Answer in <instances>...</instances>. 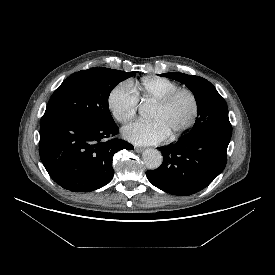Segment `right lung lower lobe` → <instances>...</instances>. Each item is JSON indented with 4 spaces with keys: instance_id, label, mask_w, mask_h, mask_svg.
Instances as JSON below:
<instances>
[{
    "instance_id": "98d812e1",
    "label": "right lung lower lobe",
    "mask_w": 275,
    "mask_h": 275,
    "mask_svg": "<svg viewBox=\"0 0 275 275\" xmlns=\"http://www.w3.org/2000/svg\"><path fill=\"white\" fill-rule=\"evenodd\" d=\"M119 132L106 124L68 115L43 117L39 153L50 177L73 192H90L113 177L112 158L119 150H132L126 141L112 138ZM111 138V139H110Z\"/></svg>"
}]
</instances>
